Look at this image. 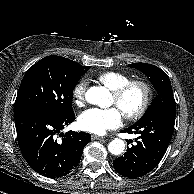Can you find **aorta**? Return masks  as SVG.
Listing matches in <instances>:
<instances>
[{"instance_id":"aorta-1","label":"aorta","mask_w":194,"mask_h":194,"mask_svg":"<svg viewBox=\"0 0 194 194\" xmlns=\"http://www.w3.org/2000/svg\"><path fill=\"white\" fill-rule=\"evenodd\" d=\"M109 96V91L104 87H91L86 93V100L90 104L103 106ZM125 149L124 141L121 139H114L108 145V150L114 155L123 153Z\"/></svg>"}]
</instances>
